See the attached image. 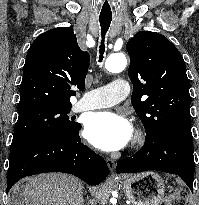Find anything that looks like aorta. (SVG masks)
I'll return each instance as SVG.
<instances>
[{
  "mask_svg": "<svg viewBox=\"0 0 199 205\" xmlns=\"http://www.w3.org/2000/svg\"><path fill=\"white\" fill-rule=\"evenodd\" d=\"M127 59L123 53H116L110 55L105 62V68L111 73H119L125 69Z\"/></svg>",
  "mask_w": 199,
  "mask_h": 205,
  "instance_id": "762f6f07",
  "label": "aorta"
}]
</instances>
